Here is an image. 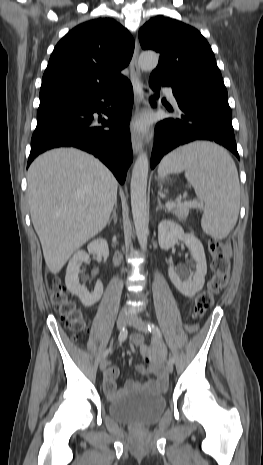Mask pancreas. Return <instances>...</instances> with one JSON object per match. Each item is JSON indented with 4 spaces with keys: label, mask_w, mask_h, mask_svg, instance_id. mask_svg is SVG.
<instances>
[{
    "label": "pancreas",
    "mask_w": 263,
    "mask_h": 465,
    "mask_svg": "<svg viewBox=\"0 0 263 465\" xmlns=\"http://www.w3.org/2000/svg\"><path fill=\"white\" fill-rule=\"evenodd\" d=\"M172 213L180 220V221H186L187 216L189 214V207H186L184 205L177 206L172 210Z\"/></svg>",
    "instance_id": "cf45deb5"
}]
</instances>
